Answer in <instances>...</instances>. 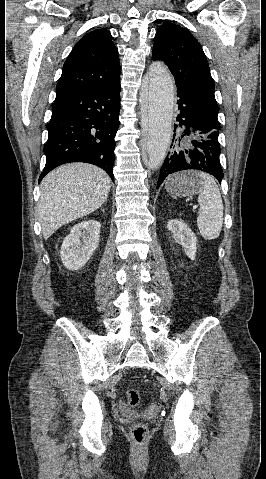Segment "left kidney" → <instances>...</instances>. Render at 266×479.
I'll return each instance as SVG.
<instances>
[{
    "mask_svg": "<svg viewBox=\"0 0 266 479\" xmlns=\"http://www.w3.org/2000/svg\"><path fill=\"white\" fill-rule=\"evenodd\" d=\"M167 228L173 234L175 242L182 245L185 254L193 260L197 250V238L192 230L177 219L169 220Z\"/></svg>",
    "mask_w": 266,
    "mask_h": 479,
    "instance_id": "left-kidney-1",
    "label": "left kidney"
}]
</instances>
